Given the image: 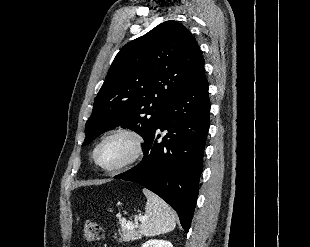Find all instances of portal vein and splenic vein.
I'll list each match as a JSON object with an SVG mask.
<instances>
[{
	"label": "portal vein and splenic vein",
	"mask_w": 310,
	"mask_h": 247,
	"mask_svg": "<svg viewBox=\"0 0 310 247\" xmlns=\"http://www.w3.org/2000/svg\"><path fill=\"white\" fill-rule=\"evenodd\" d=\"M138 219L142 220L143 218L142 217H138ZM126 227H127V229H130V230L134 229V225L130 221L127 222Z\"/></svg>",
	"instance_id": "obj_1"
}]
</instances>
